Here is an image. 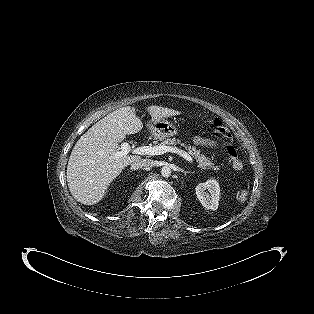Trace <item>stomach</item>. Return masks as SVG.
I'll return each instance as SVG.
<instances>
[{"label":"stomach","instance_id":"0dacf381","mask_svg":"<svg viewBox=\"0 0 314 314\" xmlns=\"http://www.w3.org/2000/svg\"><path fill=\"white\" fill-rule=\"evenodd\" d=\"M147 127L151 131L152 135L159 140L175 136L177 134V128L165 119L158 121L151 119L148 122Z\"/></svg>","mask_w":314,"mask_h":314}]
</instances>
